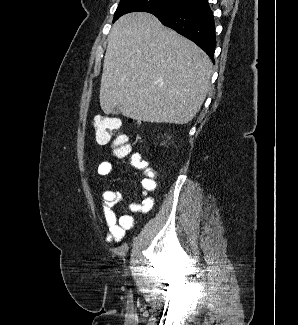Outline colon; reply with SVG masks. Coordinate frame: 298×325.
<instances>
[{
	"mask_svg": "<svg viewBox=\"0 0 298 325\" xmlns=\"http://www.w3.org/2000/svg\"><path fill=\"white\" fill-rule=\"evenodd\" d=\"M122 127V122L118 118L107 115H98L94 118L93 128L95 139L98 144L104 145L110 142L112 136L119 133ZM114 151L118 157H126L131 154V147L127 143L125 136L120 135L114 142ZM131 160L133 166L137 170L145 171L149 164L142 159L138 154H132Z\"/></svg>",
	"mask_w": 298,
	"mask_h": 325,
	"instance_id": "colon-1",
	"label": "colon"
}]
</instances>
